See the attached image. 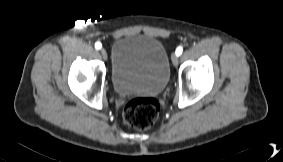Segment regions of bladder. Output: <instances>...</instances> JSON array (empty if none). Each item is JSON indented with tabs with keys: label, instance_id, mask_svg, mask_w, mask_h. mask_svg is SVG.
<instances>
[{
	"label": "bladder",
	"instance_id": "obj_1",
	"mask_svg": "<svg viewBox=\"0 0 283 162\" xmlns=\"http://www.w3.org/2000/svg\"><path fill=\"white\" fill-rule=\"evenodd\" d=\"M169 77L168 53L155 37L126 35L114 42L111 83L118 95H158L167 86Z\"/></svg>",
	"mask_w": 283,
	"mask_h": 162
}]
</instances>
